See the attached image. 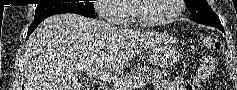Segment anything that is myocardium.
<instances>
[{"instance_id": "myocardium-1", "label": "myocardium", "mask_w": 237, "mask_h": 90, "mask_svg": "<svg viewBox=\"0 0 237 90\" xmlns=\"http://www.w3.org/2000/svg\"><path fill=\"white\" fill-rule=\"evenodd\" d=\"M138 1H147V0H138ZM185 2L186 0H174L173 5L175 9L169 17L161 20L149 21L140 14L137 6V1H130L133 9V15L135 20L137 21L138 28H158L161 26H166L175 23L176 21H178V19L180 18V16L184 11V5L182 3Z\"/></svg>"}]
</instances>
